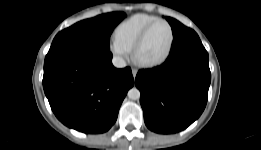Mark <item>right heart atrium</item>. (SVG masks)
I'll use <instances>...</instances> for the list:
<instances>
[{"mask_svg": "<svg viewBox=\"0 0 261 150\" xmlns=\"http://www.w3.org/2000/svg\"><path fill=\"white\" fill-rule=\"evenodd\" d=\"M110 51L118 61L127 59L130 53V50L116 39H113L110 42Z\"/></svg>", "mask_w": 261, "mask_h": 150, "instance_id": "right-heart-atrium-1", "label": "right heart atrium"}]
</instances>
